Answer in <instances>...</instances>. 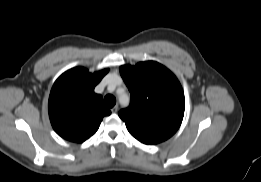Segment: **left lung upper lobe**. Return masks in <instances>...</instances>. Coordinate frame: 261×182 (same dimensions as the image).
<instances>
[{
  "instance_id": "1",
  "label": "left lung upper lobe",
  "mask_w": 261,
  "mask_h": 182,
  "mask_svg": "<svg viewBox=\"0 0 261 182\" xmlns=\"http://www.w3.org/2000/svg\"><path fill=\"white\" fill-rule=\"evenodd\" d=\"M120 74L131 101L119 117L131 135L150 145L170 138L180 127L185 109L184 93L174 74L155 61L123 65Z\"/></svg>"
}]
</instances>
